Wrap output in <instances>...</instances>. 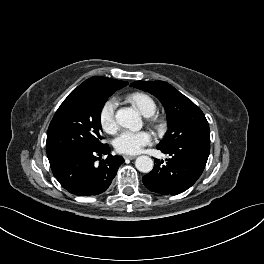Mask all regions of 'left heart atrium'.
<instances>
[{"mask_svg":"<svg viewBox=\"0 0 264 264\" xmlns=\"http://www.w3.org/2000/svg\"><path fill=\"white\" fill-rule=\"evenodd\" d=\"M152 141L153 136L149 131L124 130L115 138L114 147L119 153L136 154Z\"/></svg>","mask_w":264,"mask_h":264,"instance_id":"obj_1","label":"left heart atrium"}]
</instances>
